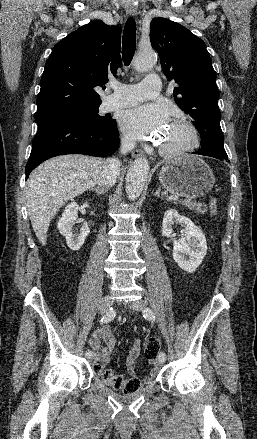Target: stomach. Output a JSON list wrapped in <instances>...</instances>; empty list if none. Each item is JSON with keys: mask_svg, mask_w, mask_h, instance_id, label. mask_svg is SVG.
<instances>
[{"mask_svg": "<svg viewBox=\"0 0 257 439\" xmlns=\"http://www.w3.org/2000/svg\"><path fill=\"white\" fill-rule=\"evenodd\" d=\"M159 180L169 192L190 200L209 193L215 183L210 167L195 155L165 161L159 173Z\"/></svg>", "mask_w": 257, "mask_h": 439, "instance_id": "0dacf381", "label": "stomach"}]
</instances>
